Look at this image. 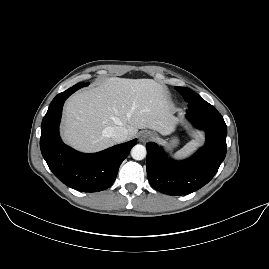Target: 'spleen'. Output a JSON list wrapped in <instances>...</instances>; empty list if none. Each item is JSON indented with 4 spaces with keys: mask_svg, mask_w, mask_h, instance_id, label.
<instances>
[{
    "mask_svg": "<svg viewBox=\"0 0 269 269\" xmlns=\"http://www.w3.org/2000/svg\"><path fill=\"white\" fill-rule=\"evenodd\" d=\"M200 140H201L200 136H197V137L195 138V142H199Z\"/></svg>",
    "mask_w": 269,
    "mask_h": 269,
    "instance_id": "3e777b00",
    "label": "spleen"
}]
</instances>
